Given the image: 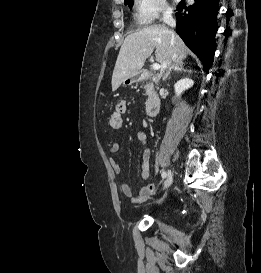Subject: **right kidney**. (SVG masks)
<instances>
[{
  "mask_svg": "<svg viewBox=\"0 0 261 273\" xmlns=\"http://www.w3.org/2000/svg\"><path fill=\"white\" fill-rule=\"evenodd\" d=\"M194 81L190 78H183L177 81L174 85L176 96H180L185 90L192 87Z\"/></svg>",
  "mask_w": 261,
  "mask_h": 273,
  "instance_id": "1",
  "label": "right kidney"
}]
</instances>
